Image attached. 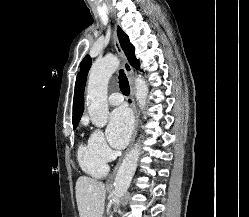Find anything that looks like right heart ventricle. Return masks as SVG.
<instances>
[{
	"label": "right heart ventricle",
	"instance_id": "right-heart-ventricle-1",
	"mask_svg": "<svg viewBox=\"0 0 249 217\" xmlns=\"http://www.w3.org/2000/svg\"><path fill=\"white\" fill-rule=\"evenodd\" d=\"M77 157L85 173L96 178L103 177L107 173V163L94 152L89 142L79 146Z\"/></svg>",
	"mask_w": 249,
	"mask_h": 217
}]
</instances>
